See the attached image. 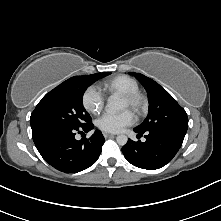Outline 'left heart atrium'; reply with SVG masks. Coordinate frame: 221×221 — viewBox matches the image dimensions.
I'll use <instances>...</instances> for the list:
<instances>
[{
  "label": "left heart atrium",
  "instance_id": "1",
  "mask_svg": "<svg viewBox=\"0 0 221 221\" xmlns=\"http://www.w3.org/2000/svg\"><path fill=\"white\" fill-rule=\"evenodd\" d=\"M100 130L110 133L121 132L125 127L134 123V116L129 110L118 114L105 113L97 120Z\"/></svg>",
  "mask_w": 221,
  "mask_h": 221
}]
</instances>
